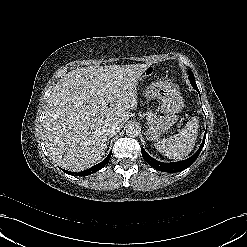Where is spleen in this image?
Masks as SVG:
<instances>
[{"instance_id":"obj_1","label":"spleen","mask_w":247,"mask_h":247,"mask_svg":"<svg viewBox=\"0 0 247 247\" xmlns=\"http://www.w3.org/2000/svg\"><path fill=\"white\" fill-rule=\"evenodd\" d=\"M199 121L192 117L178 134L159 141L155 147L170 159L181 160L191 153L198 135Z\"/></svg>"}]
</instances>
